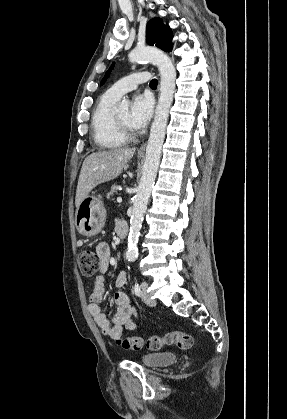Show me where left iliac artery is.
<instances>
[{"instance_id":"1","label":"left iliac artery","mask_w":287,"mask_h":419,"mask_svg":"<svg viewBox=\"0 0 287 419\" xmlns=\"http://www.w3.org/2000/svg\"><path fill=\"white\" fill-rule=\"evenodd\" d=\"M134 293H135L137 296H140V294H141V289H140V286H139V284H138V283H135V285H134Z\"/></svg>"}]
</instances>
